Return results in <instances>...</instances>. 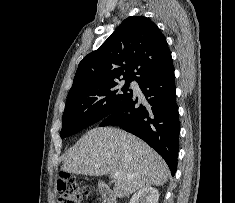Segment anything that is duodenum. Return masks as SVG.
<instances>
[{"label":"duodenum","instance_id":"duodenum-1","mask_svg":"<svg viewBox=\"0 0 235 203\" xmlns=\"http://www.w3.org/2000/svg\"><path fill=\"white\" fill-rule=\"evenodd\" d=\"M98 191L102 197L103 203H117L116 195L109 185L105 182L100 181L98 183Z\"/></svg>","mask_w":235,"mask_h":203}]
</instances>
